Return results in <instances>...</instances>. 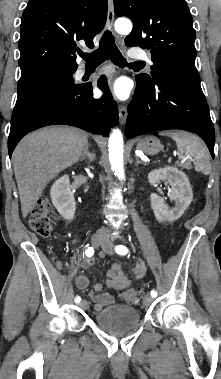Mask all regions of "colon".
I'll return each instance as SVG.
<instances>
[{
  "label": "colon",
  "mask_w": 221,
  "mask_h": 379,
  "mask_svg": "<svg viewBox=\"0 0 221 379\" xmlns=\"http://www.w3.org/2000/svg\"><path fill=\"white\" fill-rule=\"evenodd\" d=\"M52 212V205L48 201H37L29 215L28 221L31 229L40 236H48L53 228ZM119 294L128 303L136 304L142 300V292L137 289H128Z\"/></svg>",
  "instance_id": "obj_1"
}]
</instances>
